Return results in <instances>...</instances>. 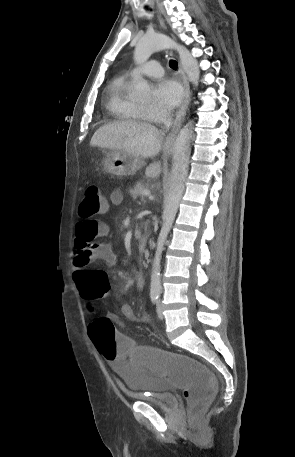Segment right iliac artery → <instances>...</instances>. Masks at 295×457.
<instances>
[{
    "label": "right iliac artery",
    "instance_id": "right-iliac-artery-1",
    "mask_svg": "<svg viewBox=\"0 0 295 457\" xmlns=\"http://www.w3.org/2000/svg\"><path fill=\"white\" fill-rule=\"evenodd\" d=\"M158 294H151V300L154 304L158 302Z\"/></svg>",
    "mask_w": 295,
    "mask_h": 457
}]
</instances>
